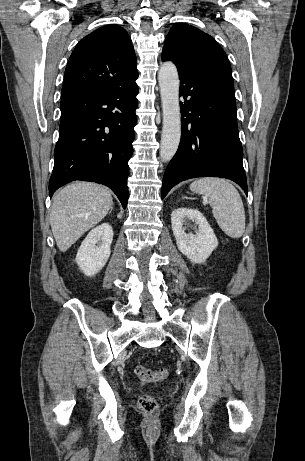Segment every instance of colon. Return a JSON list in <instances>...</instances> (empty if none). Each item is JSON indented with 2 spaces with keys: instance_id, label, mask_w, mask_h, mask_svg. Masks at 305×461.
I'll use <instances>...</instances> for the list:
<instances>
[{
  "instance_id": "obj_1",
  "label": "colon",
  "mask_w": 305,
  "mask_h": 461,
  "mask_svg": "<svg viewBox=\"0 0 305 461\" xmlns=\"http://www.w3.org/2000/svg\"><path fill=\"white\" fill-rule=\"evenodd\" d=\"M135 374L139 379L145 382H154L166 378L169 375V370L162 367L156 370H151L144 366H136ZM138 408L146 413H153L158 407L156 399L150 394H142L137 401Z\"/></svg>"
}]
</instances>
